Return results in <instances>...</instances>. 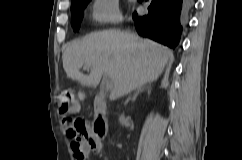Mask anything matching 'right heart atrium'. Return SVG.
<instances>
[{
    "label": "right heart atrium",
    "instance_id": "d8ad5b80",
    "mask_svg": "<svg viewBox=\"0 0 242 160\" xmlns=\"http://www.w3.org/2000/svg\"><path fill=\"white\" fill-rule=\"evenodd\" d=\"M91 19L97 25L115 24L121 20L117 0H92Z\"/></svg>",
    "mask_w": 242,
    "mask_h": 160
}]
</instances>
